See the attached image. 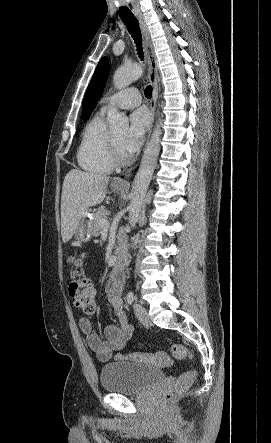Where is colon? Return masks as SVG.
<instances>
[{
	"instance_id": "1",
	"label": "colon",
	"mask_w": 271,
	"mask_h": 443,
	"mask_svg": "<svg viewBox=\"0 0 271 443\" xmlns=\"http://www.w3.org/2000/svg\"><path fill=\"white\" fill-rule=\"evenodd\" d=\"M68 263L71 266L70 274L73 278L68 288L69 295L72 297L76 307L81 308L85 312L93 313L95 311V289L89 280L81 278L83 259L71 256L68 258ZM172 355L178 360L190 359L194 361L193 353L183 344H174L172 346ZM114 358L116 360L145 363L160 367H167L172 363L169 355L163 351L156 353L132 352L115 354ZM196 375L197 371L195 369L183 372L165 391V401L170 403L184 393L192 384Z\"/></svg>"
}]
</instances>
